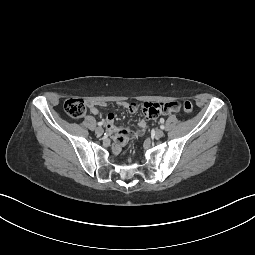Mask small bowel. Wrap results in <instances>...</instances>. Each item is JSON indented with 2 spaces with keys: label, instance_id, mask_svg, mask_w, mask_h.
Instances as JSON below:
<instances>
[{
  "label": "small bowel",
  "instance_id": "1",
  "mask_svg": "<svg viewBox=\"0 0 255 255\" xmlns=\"http://www.w3.org/2000/svg\"><path fill=\"white\" fill-rule=\"evenodd\" d=\"M121 106L128 109L131 113L135 112L137 103L121 102ZM97 106H105V103L90 102L89 108L93 115L98 114ZM183 106L177 100L167 99L164 103H145L144 115L147 119H154L160 114H178L182 111ZM115 115L109 113L106 118V125L109 130L110 136L115 140L114 150L119 151L120 148L127 142L129 137L134 135V132L129 128H119L115 125ZM146 128V124L142 121L138 124V134L143 133Z\"/></svg>",
  "mask_w": 255,
  "mask_h": 255
}]
</instances>
